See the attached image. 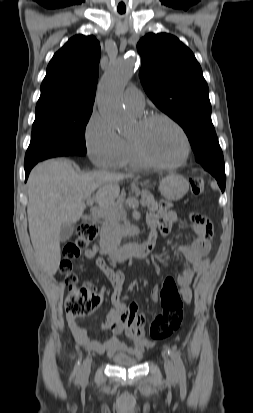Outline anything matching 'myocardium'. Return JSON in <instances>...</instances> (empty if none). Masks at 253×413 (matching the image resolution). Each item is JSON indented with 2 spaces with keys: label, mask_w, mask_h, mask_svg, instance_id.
I'll list each match as a JSON object with an SVG mask.
<instances>
[{
  "label": "myocardium",
  "mask_w": 253,
  "mask_h": 413,
  "mask_svg": "<svg viewBox=\"0 0 253 413\" xmlns=\"http://www.w3.org/2000/svg\"><path fill=\"white\" fill-rule=\"evenodd\" d=\"M158 120H164L168 123H170L181 135L183 142H184V152L182 157L177 160L176 162L173 163H161L158 161L153 160L152 158H150L148 156V154L145 152L143 145L141 143V141L137 138L132 137L131 141L134 147V150L137 154V156L139 157V159L146 165L152 168H156V169H175L180 167L181 165H183L189 158L190 156V152H191V143L189 140V137L186 133V131L184 130V128L176 121L174 120L172 117L166 115V114H162V113H156V114H151L148 116H145L143 118L140 119L139 121V125L142 128H145L147 126H149L150 124H152L155 121Z\"/></svg>",
  "instance_id": "1"
}]
</instances>
